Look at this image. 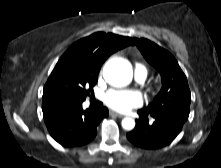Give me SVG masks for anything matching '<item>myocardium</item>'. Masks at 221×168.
<instances>
[{"label": "myocardium", "mask_w": 221, "mask_h": 168, "mask_svg": "<svg viewBox=\"0 0 221 168\" xmlns=\"http://www.w3.org/2000/svg\"><path fill=\"white\" fill-rule=\"evenodd\" d=\"M153 93L156 94V93H157V90H154Z\"/></svg>", "instance_id": "f54148a6"}]
</instances>
